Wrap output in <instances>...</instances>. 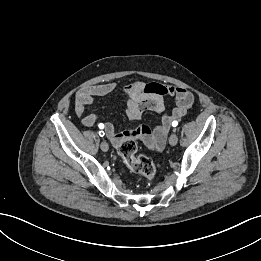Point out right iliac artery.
<instances>
[{"instance_id":"obj_1","label":"right iliac artery","mask_w":261,"mask_h":261,"mask_svg":"<svg viewBox=\"0 0 261 261\" xmlns=\"http://www.w3.org/2000/svg\"><path fill=\"white\" fill-rule=\"evenodd\" d=\"M98 126H99L100 129H103V127H104L103 124H99ZM99 135H100L101 137H103V136L105 135L104 131H99Z\"/></svg>"}]
</instances>
